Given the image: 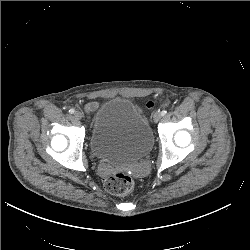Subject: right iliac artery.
Masks as SVG:
<instances>
[{"instance_id":"82829eb1","label":"right iliac artery","mask_w":250,"mask_h":250,"mask_svg":"<svg viewBox=\"0 0 250 250\" xmlns=\"http://www.w3.org/2000/svg\"><path fill=\"white\" fill-rule=\"evenodd\" d=\"M75 110L73 108L69 109L70 114H74Z\"/></svg>"}]
</instances>
